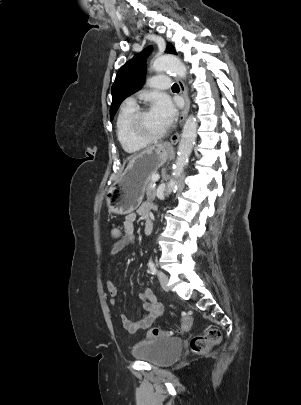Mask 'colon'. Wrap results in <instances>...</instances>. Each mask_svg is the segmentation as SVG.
I'll use <instances>...</instances> for the list:
<instances>
[{
  "label": "colon",
  "instance_id": "obj_1",
  "mask_svg": "<svg viewBox=\"0 0 301 405\" xmlns=\"http://www.w3.org/2000/svg\"><path fill=\"white\" fill-rule=\"evenodd\" d=\"M108 234L114 237L119 235V229L116 224H110L108 226ZM192 324V318L189 315H184L182 320L181 330L183 332L189 330ZM171 332L164 331L158 328H152L147 332V338H157L170 336ZM222 334L217 329H210L209 331L195 335L190 339V349L194 354L203 355L208 353L214 346L221 342Z\"/></svg>",
  "mask_w": 301,
  "mask_h": 405
}]
</instances>
